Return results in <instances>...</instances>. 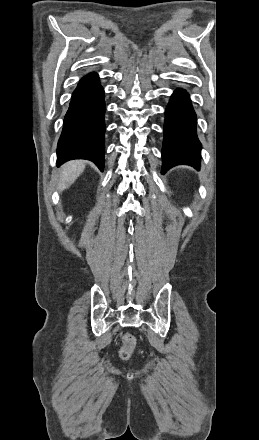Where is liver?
Returning a JSON list of instances; mask_svg holds the SVG:
<instances>
[{
    "mask_svg": "<svg viewBox=\"0 0 259 440\" xmlns=\"http://www.w3.org/2000/svg\"><path fill=\"white\" fill-rule=\"evenodd\" d=\"M85 162L82 160H73L64 164L58 176V189L60 192L69 188L78 176L84 171Z\"/></svg>",
    "mask_w": 259,
    "mask_h": 440,
    "instance_id": "1",
    "label": "liver"
}]
</instances>
